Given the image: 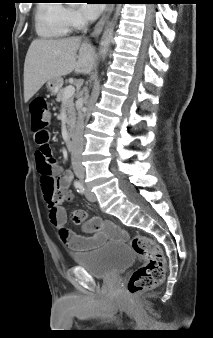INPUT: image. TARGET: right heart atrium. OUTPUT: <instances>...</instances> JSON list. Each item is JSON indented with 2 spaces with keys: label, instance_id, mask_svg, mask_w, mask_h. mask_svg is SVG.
Masks as SVG:
<instances>
[{
  "label": "right heart atrium",
  "instance_id": "obj_1",
  "mask_svg": "<svg viewBox=\"0 0 213 338\" xmlns=\"http://www.w3.org/2000/svg\"><path fill=\"white\" fill-rule=\"evenodd\" d=\"M63 20L71 29H77L83 27L86 24V20L82 13L72 7L64 8Z\"/></svg>",
  "mask_w": 213,
  "mask_h": 338
}]
</instances>
